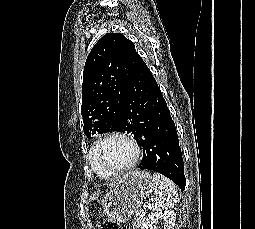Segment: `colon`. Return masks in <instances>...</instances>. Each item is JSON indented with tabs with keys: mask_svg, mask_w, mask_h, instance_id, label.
I'll use <instances>...</instances> for the list:
<instances>
[{
	"mask_svg": "<svg viewBox=\"0 0 255 229\" xmlns=\"http://www.w3.org/2000/svg\"><path fill=\"white\" fill-rule=\"evenodd\" d=\"M102 229H119V227L114 221H106L103 224Z\"/></svg>",
	"mask_w": 255,
	"mask_h": 229,
	"instance_id": "1",
	"label": "colon"
}]
</instances>
